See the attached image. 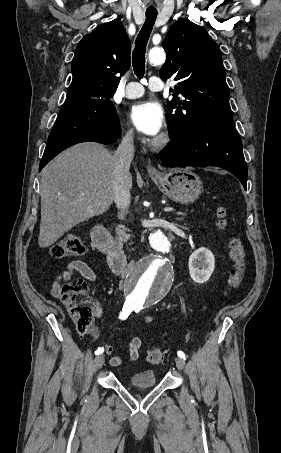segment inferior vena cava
<instances>
[{
	"label": "inferior vena cava",
	"instance_id": "inferior-vena-cava-1",
	"mask_svg": "<svg viewBox=\"0 0 281 453\" xmlns=\"http://www.w3.org/2000/svg\"><path fill=\"white\" fill-rule=\"evenodd\" d=\"M134 156V140L133 134L127 132L121 140L113 160H115L114 182L113 188L115 192V200L118 208H128L130 204V164Z\"/></svg>",
	"mask_w": 281,
	"mask_h": 453
}]
</instances>
